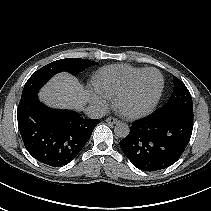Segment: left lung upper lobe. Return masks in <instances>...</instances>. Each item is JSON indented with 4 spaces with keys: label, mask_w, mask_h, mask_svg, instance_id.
Listing matches in <instances>:
<instances>
[{
    "label": "left lung upper lobe",
    "mask_w": 211,
    "mask_h": 211,
    "mask_svg": "<svg viewBox=\"0 0 211 211\" xmlns=\"http://www.w3.org/2000/svg\"><path fill=\"white\" fill-rule=\"evenodd\" d=\"M174 89L168 102L154 114H183L193 118V103L191 94L184 83L173 76Z\"/></svg>",
    "instance_id": "5c2ea615"
}]
</instances>
